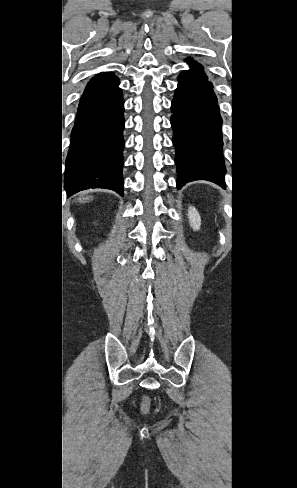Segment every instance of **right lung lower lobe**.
<instances>
[{
    "label": "right lung lower lobe",
    "mask_w": 297,
    "mask_h": 488,
    "mask_svg": "<svg viewBox=\"0 0 297 488\" xmlns=\"http://www.w3.org/2000/svg\"><path fill=\"white\" fill-rule=\"evenodd\" d=\"M117 77L80 99L66 159L65 190L89 188L123 195L124 102Z\"/></svg>",
    "instance_id": "right-lung-lower-lobe-1"
}]
</instances>
